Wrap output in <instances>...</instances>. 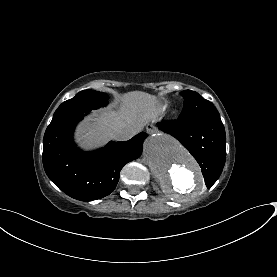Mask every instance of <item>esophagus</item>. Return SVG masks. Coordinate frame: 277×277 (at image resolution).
Wrapping results in <instances>:
<instances>
[{"instance_id": "1", "label": "esophagus", "mask_w": 277, "mask_h": 277, "mask_svg": "<svg viewBox=\"0 0 277 277\" xmlns=\"http://www.w3.org/2000/svg\"><path fill=\"white\" fill-rule=\"evenodd\" d=\"M147 132H148V133L153 132V129H152V126H151V125H148V126H147Z\"/></svg>"}]
</instances>
